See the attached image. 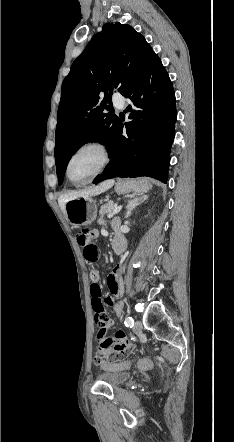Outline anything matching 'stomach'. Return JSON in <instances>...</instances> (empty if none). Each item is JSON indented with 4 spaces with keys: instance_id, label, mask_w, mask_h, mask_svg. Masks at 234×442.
<instances>
[{
    "instance_id": "0dacf381",
    "label": "stomach",
    "mask_w": 234,
    "mask_h": 442,
    "mask_svg": "<svg viewBox=\"0 0 234 442\" xmlns=\"http://www.w3.org/2000/svg\"><path fill=\"white\" fill-rule=\"evenodd\" d=\"M151 188L146 179H119L115 184L118 194L135 192L143 194ZM66 219L73 225L91 224L97 215V206L91 198H76L65 204Z\"/></svg>"
}]
</instances>
